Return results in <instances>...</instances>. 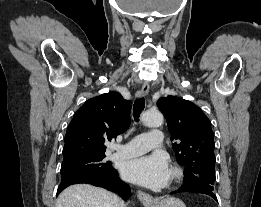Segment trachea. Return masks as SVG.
Here are the masks:
<instances>
[{
	"label": "trachea",
	"instance_id": "trachea-1",
	"mask_svg": "<svg viewBox=\"0 0 261 207\" xmlns=\"http://www.w3.org/2000/svg\"><path fill=\"white\" fill-rule=\"evenodd\" d=\"M145 107V100L144 98H139L134 102L133 105V117L135 119V121L137 122L139 119L140 114L142 113V111L144 110Z\"/></svg>",
	"mask_w": 261,
	"mask_h": 207
}]
</instances>
